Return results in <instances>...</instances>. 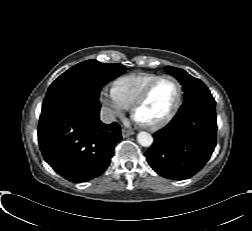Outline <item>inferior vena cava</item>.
<instances>
[{
	"label": "inferior vena cava",
	"mask_w": 252,
	"mask_h": 231,
	"mask_svg": "<svg viewBox=\"0 0 252 231\" xmlns=\"http://www.w3.org/2000/svg\"><path fill=\"white\" fill-rule=\"evenodd\" d=\"M100 119L103 123L109 124L115 121V112L107 107H103L100 111Z\"/></svg>",
	"instance_id": "obj_1"
}]
</instances>
